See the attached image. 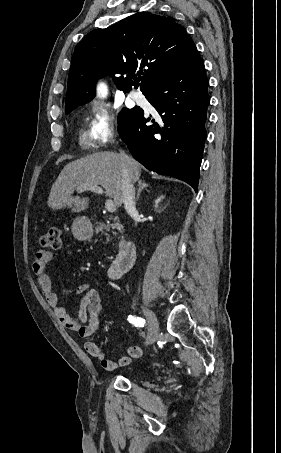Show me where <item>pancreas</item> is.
I'll return each instance as SVG.
<instances>
[{
    "mask_svg": "<svg viewBox=\"0 0 281 453\" xmlns=\"http://www.w3.org/2000/svg\"><path fill=\"white\" fill-rule=\"evenodd\" d=\"M109 227H112V229H118V231H121V229H123L122 224H120V222H112V224H100V227H97V231H102V229L110 231Z\"/></svg>",
    "mask_w": 281,
    "mask_h": 453,
    "instance_id": "pancreas-1",
    "label": "pancreas"
}]
</instances>
